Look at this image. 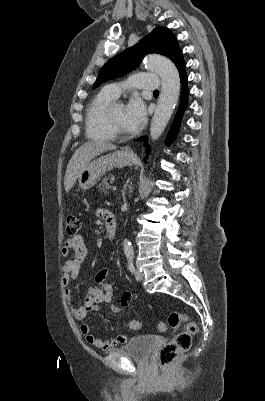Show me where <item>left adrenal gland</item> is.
<instances>
[{
    "mask_svg": "<svg viewBox=\"0 0 265 401\" xmlns=\"http://www.w3.org/2000/svg\"><path fill=\"white\" fill-rule=\"evenodd\" d=\"M128 182H129V178H128L127 182H125V184L123 186V190H122L123 196H125V190H127V186H129Z\"/></svg>",
    "mask_w": 265,
    "mask_h": 401,
    "instance_id": "left-adrenal-gland-1",
    "label": "left adrenal gland"
}]
</instances>
